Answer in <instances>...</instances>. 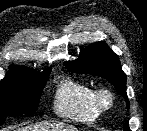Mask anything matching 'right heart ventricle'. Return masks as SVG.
I'll use <instances>...</instances> for the list:
<instances>
[{"instance_id": "right-heart-ventricle-1", "label": "right heart ventricle", "mask_w": 147, "mask_h": 131, "mask_svg": "<svg viewBox=\"0 0 147 131\" xmlns=\"http://www.w3.org/2000/svg\"><path fill=\"white\" fill-rule=\"evenodd\" d=\"M95 89L90 84L65 79L58 85L53 108L60 117L79 122L91 123L99 117V111L94 102Z\"/></svg>"}]
</instances>
